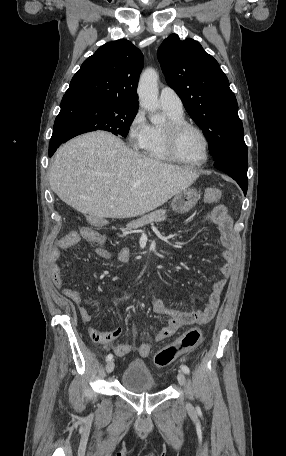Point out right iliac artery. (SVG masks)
<instances>
[{"label":"right iliac artery","mask_w":286,"mask_h":456,"mask_svg":"<svg viewBox=\"0 0 286 456\" xmlns=\"http://www.w3.org/2000/svg\"><path fill=\"white\" fill-rule=\"evenodd\" d=\"M113 359V355L112 354H108L106 356V361H111Z\"/></svg>","instance_id":"82829eb1"}]
</instances>
